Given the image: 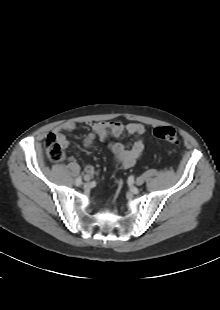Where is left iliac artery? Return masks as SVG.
I'll return each mask as SVG.
<instances>
[{
	"mask_svg": "<svg viewBox=\"0 0 220 310\" xmlns=\"http://www.w3.org/2000/svg\"><path fill=\"white\" fill-rule=\"evenodd\" d=\"M133 183H134V176L131 175V176L128 177L127 184L128 185H132Z\"/></svg>",
	"mask_w": 220,
	"mask_h": 310,
	"instance_id": "1",
	"label": "left iliac artery"
}]
</instances>
